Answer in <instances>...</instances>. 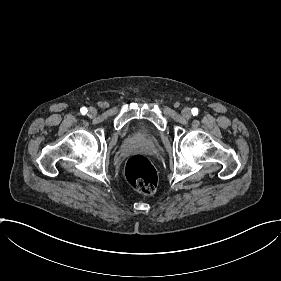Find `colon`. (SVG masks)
<instances>
[{"label": "colon", "mask_w": 281, "mask_h": 281, "mask_svg": "<svg viewBox=\"0 0 281 281\" xmlns=\"http://www.w3.org/2000/svg\"><path fill=\"white\" fill-rule=\"evenodd\" d=\"M125 176L134 189L143 192L153 191L158 183L155 168L142 155H132L128 158L125 164Z\"/></svg>", "instance_id": "colon-1"}]
</instances>
